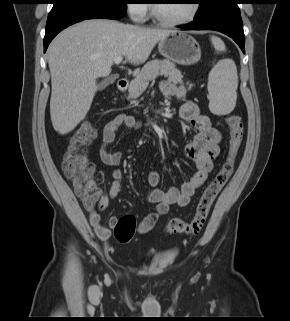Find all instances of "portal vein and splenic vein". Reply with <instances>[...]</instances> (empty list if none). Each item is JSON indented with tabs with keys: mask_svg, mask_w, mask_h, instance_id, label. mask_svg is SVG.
Listing matches in <instances>:
<instances>
[{
	"mask_svg": "<svg viewBox=\"0 0 290 321\" xmlns=\"http://www.w3.org/2000/svg\"><path fill=\"white\" fill-rule=\"evenodd\" d=\"M122 59H123L122 56L116 57V58L114 59V63H115V64H120V63L122 62Z\"/></svg>",
	"mask_w": 290,
	"mask_h": 321,
	"instance_id": "1",
	"label": "portal vein and splenic vein"
}]
</instances>
